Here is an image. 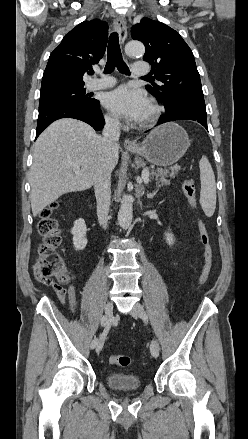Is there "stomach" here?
Wrapping results in <instances>:
<instances>
[{
  "instance_id": "0dacf381",
  "label": "stomach",
  "mask_w": 248,
  "mask_h": 439,
  "mask_svg": "<svg viewBox=\"0 0 248 439\" xmlns=\"http://www.w3.org/2000/svg\"><path fill=\"white\" fill-rule=\"evenodd\" d=\"M188 134L177 123L170 122L154 129L132 153L157 166H171L187 151Z\"/></svg>"
}]
</instances>
